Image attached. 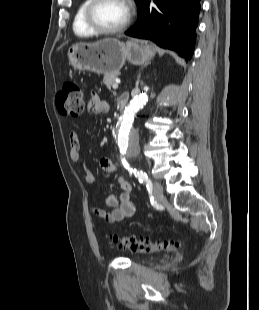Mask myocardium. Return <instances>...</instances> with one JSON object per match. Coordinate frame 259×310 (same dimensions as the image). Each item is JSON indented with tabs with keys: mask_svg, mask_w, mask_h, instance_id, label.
I'll return each instance as SVG.
<instances>
[{
	"mask_svg": "<svg viewBox=\"0 0 259 310\" xmlns=\"http://www.w3.org/2000/svg\"><path fill=\"white\" fill-rule=\"evenodd\" d=\"M101 1L102 0H90L89 3L87 4L85 8V12H84V21L87 27L93 33L100 34V35H114V34L121 33L124 30H126L128 26L130 25L131 19H132V14L130 12V9L127 3L124 0H121L128 7V15H127L126 20L118 27L106 28V27L99 25L94 19V10Z\"/></svg>",
	"mask_w": 259,
	"mask_h": 310,
	"instance_id": "obj_1",
	"label": "myocardium"
}]
</instances>
